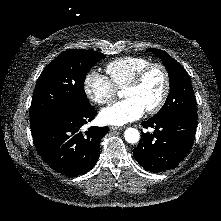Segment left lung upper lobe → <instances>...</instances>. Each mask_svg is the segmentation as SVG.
Masks as SVG:
<instances>
[{"label":"left lung upper lobe","instance_id":"5c2ea615","mask_svg":"<svg viewBox=\"0 0 221 221\" xmlns=\"http://www.w3.org/2000/svg\"><path fill=\"white\" fill-rule=\"evenodd\" d=\"M148 51L161 59L168 71L170 80L169 96L164 106L155 117L179 114L197 118L193 87L185 69L169 54L162 50L150 49Z\"/></svg>","mask_w":221,"mask_h":221}]
</instances>
